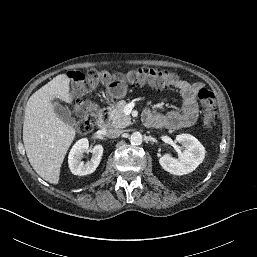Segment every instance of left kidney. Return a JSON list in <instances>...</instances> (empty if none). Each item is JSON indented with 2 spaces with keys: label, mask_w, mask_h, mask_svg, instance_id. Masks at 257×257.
Wrapping results in <instances>:
<instances>
[{
  "label": "left kidney",
  "mask_w": 257,
  "mask_h": 257,
  "mask_svg": "<svg viewBox=\"0 0 257 257\" xmlns=\"http://www.w3.org/2000/svg\"><path fill=\"white\" fill-rule=\"evenodd\" d=\"M176 141L185 148L181 156L176 159L170 154H165L159 159V163L164 170L173 175H185L194 171L205 157V149L194 136L190 134H180L176 136Z\"/></svg>",
  "instance_id": "obj_1"
}]
</instances>
